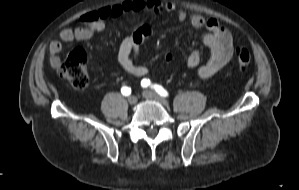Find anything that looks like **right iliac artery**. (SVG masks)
Here are the masks:
<instances>
[{
  "label": "right iliac artery",
  "instance_id": "82829eb1",
  "mask_svg": "<svg viewBox=\"0 0 299 190\" xmlns=\"http://www.w3.org/2000/svg\"><path fill=\"white\" fill-rule=\"evenodd\" d=\"M121 93L125 96H128L131 94V89L127 86H124L121 88Z\"/></svg>",
  "mask_w": 299,
  "mask_h": 190
}]
</instances>
